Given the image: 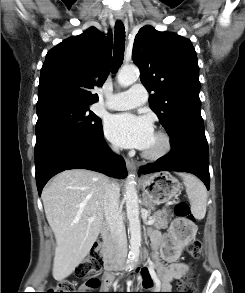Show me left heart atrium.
Listing matches in <instances>:
<instances>
[{
  "label": "left heart atrium",
  "mask_w": 245,
  "mask_h": 293,
  "mask_svg": "<svg viewBox=\"0 0 245 293\" xmlns=\"http://www.w3.org/2000/svg\"><path fill=\"white\" fill-rule=\"evenodd\" d=\"M109 140L124 148L146 149L154 136L151 121L132 114L111 115L105 122Z\"/></svg>",
  "instance_id": "left-heart-atrium-1"
}]
</instances>
